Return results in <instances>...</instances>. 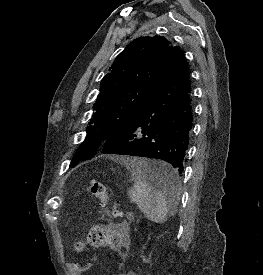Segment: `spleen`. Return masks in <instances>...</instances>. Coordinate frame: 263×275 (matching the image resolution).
Masks as SVG:
<instances>
[{"mask_svg": "<svg viewBox=\"0 0 263 275\" xmlns=\"http://www.w3.org/2000/svg\"><path fill=\"white\" fill-rule=\"evenodd\" d=\"M122 164L130 171L134 186L130 193V199L134 202L144 216L155 223H164L167 221L169 213V200L163 192L155 189L149 182L144 170H166L170 167L164 162L148 161L143 158H126ZM179 178L176 180V186L170 194L173 202L178 200Z\"/></svg>", "mask_w": 263, "mask_h": 275, "instance_id": "obj_1", "label": "spleen"}]
</instances>
